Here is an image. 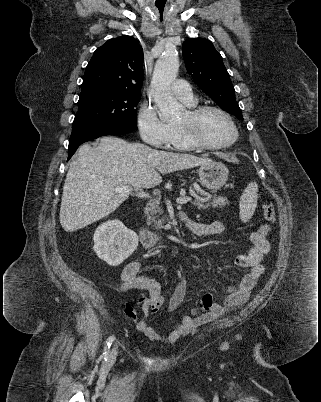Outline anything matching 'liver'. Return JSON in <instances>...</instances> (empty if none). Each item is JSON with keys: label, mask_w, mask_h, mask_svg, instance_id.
<instances>
[{"label": "liver", "mask_w": 321, "mask_h": 402, "mask_svg": "<svg viewBox=\"0 0 321 402\" xmlns=\"http://www.w3.org/2000/svg\"><path fill=\"white\" fill-rule=\"evenodd\" d=\"M208 158L156 150L141 143L105 136L97 147L82 145L71 162L63 187L60 223L66 232L84 228L114 212L129 193L153 188L161 174L210 163Z\"/></svg>", "instance_id": "obj_1"}]
</instances>
